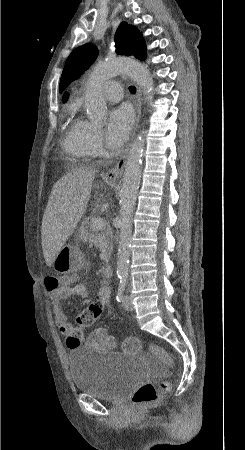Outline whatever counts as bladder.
Segmentation results:
<instances>
[{"label": "bladder", "mask_w": 245, "mask_h": 450, "mask_svg": "<svg viewBox=\"0 0 245 450\" xmlns=\"http://www.w3.org/2000/svg\"><path fill=\"white\" fill-rule=\"evenodd\" d=\"M69 371L79 393L117 401L146 376V366L139 355L76 348L67 352Z\"/></svg>", "instance_id": "bladder-1"}]
</instances>
